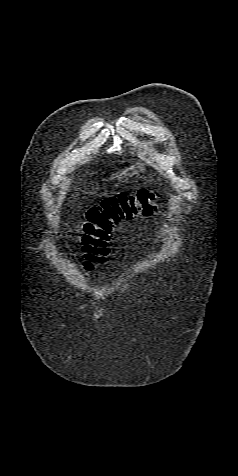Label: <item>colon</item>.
Listing matches in <instances>:
<instances>
[{
    "label": "colon",
    "mask_w": 238,
    "mask_h": 476,
    "mask_svg": "<svg viewBox=\"0 0 238 476\" xmlns=\"http://www.w3.org/2000/svg\"><path fill=\"white\" fill-rule=\"evenodd\" d=\"M158 195L146 188L120 193L102 199L86 213L83 225L82 249L84 266L105 262L110 253L109 240L113 228L121 221L156 212Z\"/></svg>",
    "instance_id": "1"
}]
</instances>
